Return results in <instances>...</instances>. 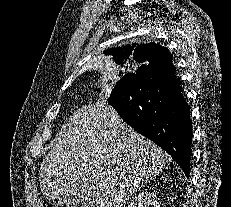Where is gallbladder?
I'll return each mask as SVG.
<instances>
[{
    "label": "gallbladder",
    "mask_w": 231,
    "mask_h": 207,
    "mask_svg": "<svg viewBox=\"0 0 231 207\" xmlns=\"http://www.w3.org/2000/svg\"><path fill=\"white\" fill-rule=\"evenodd\" d=\"M63 200L66 204L71 205L72 207H77V205L82 203V200L74 195L64 196Z\"/></svg>",
    "instance_id": "obj_1"
}]
</instances>
